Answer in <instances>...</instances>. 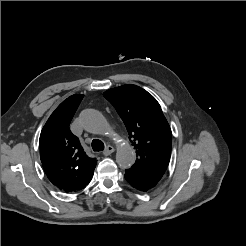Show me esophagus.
Returning a JSON list of instances; mask_svg holds the SVG:
<instances>
[{
	"label": "esophagus",
	"mask_w": 246,
	"mask_h": 246,
	"mask_svg": "<svg viewBox=\"0 0 246 246\" xmlns=\"http://www.w3.org/2000/svg\"><path fill=\"white\" fill-rule=\"evenodd\" d=\"M114 147L111 145L106 146L105 150L103 151V155L108 156L114 152Z\"/></svg>",
	"instance_id": "obj_1"
}]
</instances>
